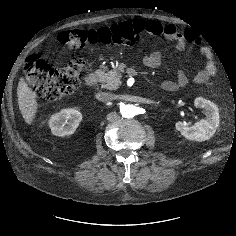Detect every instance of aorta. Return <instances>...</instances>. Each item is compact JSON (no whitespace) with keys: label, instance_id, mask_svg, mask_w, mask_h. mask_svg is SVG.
Here are the masks:
<instances>
[{"label":"aorta","instance_id":"obj_1","mask_svg":"<svg viewBox=\"0 0 236 236\" xmlns=\"http://www.w3.org/2000/svg\"><path fill=\"white\" fill-rule=\"evenodd\" d=\"M135 106L131 104L122 105L120 107V114L123 118H132L135 116Z\"/></svg>","mask_w":236,"mask_h":236}]
</instances>
